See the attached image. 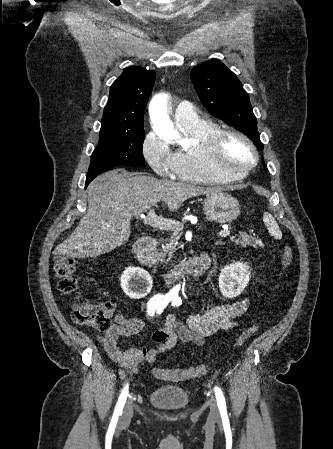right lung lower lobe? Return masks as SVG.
I'll list each match as a JSON object with an SVG mask.
<instances>
[{
    "instance_id": "right-lung-lower-lobe-1",
    "label": "right lung lower lobe",
    "mask_w": 333,
    "mask_h": 449,
    "mask_svg": "<svg viewBox=\"0 0 333 449\" xmlns=\"http://www.w3.org/2000/svg\"><path fill=\"white\" fill-rule=\"evenodd\" d=\"M93 179H94V177H87L85 188L87 187V185H88Z\"/></svg>"
}]
</instances>
